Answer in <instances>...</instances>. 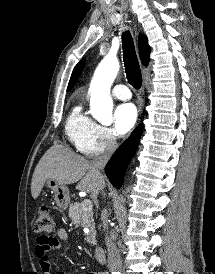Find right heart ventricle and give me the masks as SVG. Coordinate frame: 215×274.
<instances>
[{
	"label": "right heart ventricle",
	"instance_id": "1",
	"mask_svg": "<svg viewBox=\"0 0 215 274\" xmlns=\"http://www.w3.org/2000/svg\"><path fill=\"white\" fill-rule=\"evenodd\" d=\"M95 124L85 114L81 103L75 104L65 123V133L70 143L80 151L94 129Z\"/></svg>",
	"mask_w": 215,
	"mask_h": 274
}]
</instances>
